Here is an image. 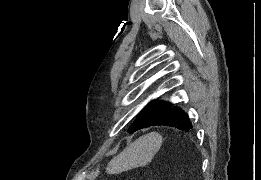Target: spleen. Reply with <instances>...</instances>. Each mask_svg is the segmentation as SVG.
<instances>
[{
	"label": "spleen",
	"instance_id": "3e777b00",
	"mask_svg": "<svg viewBox=\"0 0 261 180\" xmlns=\"http://www.w3.org/2000/svg\"><path fill=\"white\" fill-rule=\"evenodd\" d=\"M163 138L158 132H150L140 136L129 144L121 154L115 156L108 164L107 174H121L133 168H143L150 164L162 146Z\"/></svg>",
	"mask_w": 261,
	"mask_h": 180
}]
</instances>
